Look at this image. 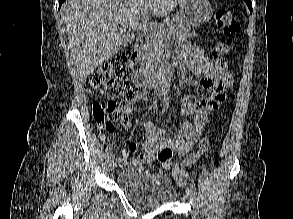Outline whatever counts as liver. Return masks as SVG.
Segmentation results:
<instances>
[{
    "label": "liver",
    "instance_id": "obj_1",
    "mask_svg": "<svg viewBox=\"0 0 293 219\" xmlns=\"http://www.w3.org/2000/svg\"><path fill=\"white\" fill-rule=\"evenodd\" d=\"M184 0H67L61 8L70 51L81 80L123 46L124 31L164 17ZM143 18L140 23V18Z\"/></svg>",
    "mask_w": 293,
    "mask_h": 219
}]
</instances>
